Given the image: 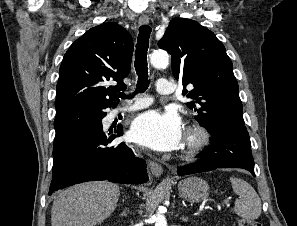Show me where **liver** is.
I'll return each mask as SVG.
<instances>
[{"label":"liver","mask_w":297,"mask_h":226,"mask_svg":"<svg viewBox=\"0 0 297 226\" xmlns=\"http://www.w3.org/2000/svg\"><path fill=\"white\" fill-rule=\"evenodd\" d=\"M119 186L109 182L78 184L62 191L51 210L52 226H95L114 211Z\"/></svg>","instance_id":"1"}]
</instances>
